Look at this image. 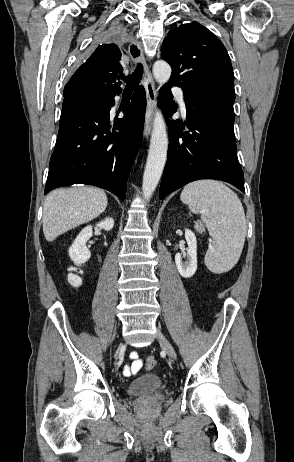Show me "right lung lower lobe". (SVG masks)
Here are the masks:
<instances>
[{
    "instance_id": "right-lung-lower-lobe-1",
    "label": "right lung lower lobe",
    "mask_w": 294,
    "mask_h": 462,
    "mask_svg": "<svg viewBox=\"0 0 294 462\" xmlns=\"http://www.w3.org/2000/svg\"><path fill=\"white\" fill-rule=\"evenodd\" d=\"M119 94L61 114L44 194L83 183L104 188L124 201L127 178L142 141L146 97L139 86L123 110L124 117L110 130L109 112Z\"/></svg>"
}]
</instances>
